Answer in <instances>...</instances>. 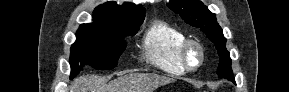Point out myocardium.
<instances>
[{
    "mask_svg": "<svg viewBox=\"0 0 289 92\" xmlns=\"http://www.w3.org/2000/svg\"><path fill=\"white\" fill-rule=\"evenodd\" d=\"M192 50H196L198 53V61L196 64H191L189 56ZM180 58L183 67L186 71H196L198 70L205 58V51L202 43L197 39H186L181 47Z\"/></svg>",
    "mask_w": 289,
    "mask_h": 92,
    "instance_id": "1",
    "label": "myocardium"
}]
</instances>
